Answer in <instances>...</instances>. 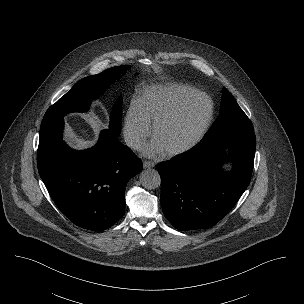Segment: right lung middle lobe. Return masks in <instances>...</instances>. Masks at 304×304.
<instances>
[{
	"label": "right lung middle lobe",
	"mask_w": 304,
	"mask_h": 304,
	"mask_svg": "<svg viewBox=\"0 0 304 304\" xmlns=\"http://www.w3.org/2000/svg\"><path fill=\"white\" fill-rule=\"evenodd\" d=\"M128 68L129 66L126 65L112 67L77 82L68 93L47 110L43 121L61 118L70 112L86 111L91 100L97 98L119 73ZM121 107L122 98H119L112 110L110 122V130L116 135L120 134L121 129Z\"/></svg>",
	"instance_id": "right-lung-middle-lobe-1"
}]
</instances>
